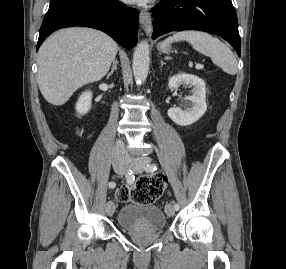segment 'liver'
<instances>
[{"mask_svg":"<svg viewBox=\"0 0 286 269\" xmlns=\"http://www.w3.org/2000/svg\"><path fill=\"white\" fill-rule=\"evenodd\" d=\"M117 54L105 33L84 27L61 29L38 52L37 82L47 102L61 106L85 84L99 81Z\"/></svg>","mask_w":286,"mask_h":269,"instance_id":"obj_1","label":"liver"}]
</instances>
